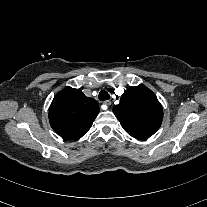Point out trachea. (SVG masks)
Masks as SVG:
<instances>
[{
  "label": "trachea",
  "instance_id": "trachea-1",
  "mask_svg": "<svg viewBox=\"0 0 207 207\" xmlns=\"http://www.w3.org/2000/svg\"><path fill=\"white\" fill-rule=\"evenodd\" d=\"M99 99H100L101 101L108 100V99H110V95H109L108 92H106L105 90H102V91H100V93H99Z\"/></svg>",
  "mask_w": 207,
  "mask_h": 207
}]
</instances>
